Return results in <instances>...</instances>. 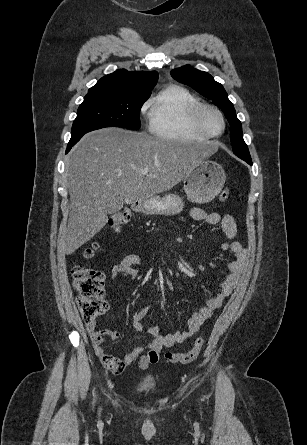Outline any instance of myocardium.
Segmentation results:
<instances>
[{"instance_id": "f54148a6", "label": "myocardium", "mask_w": 307, "mask_h": 445, "mask_svg": "<svg viewBox=\"0 0 307 445\" xmlns=\"http://www.w3.org/2000/svg\"><path fill=\"white\" fill-rule=\"evenodd\" d=\"M210 112H216L220 115V117L223 120L224 128L223 131L219 134H214L211 132L207 117ZM196 122L200 129V131L207 137L216 138L221 136L227 129V117L225 113L217 106L205 104L199 107V109L196 112Z\"/></svg>"}]
</instances>
